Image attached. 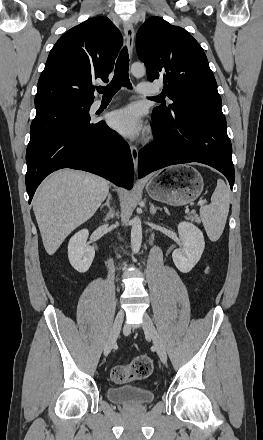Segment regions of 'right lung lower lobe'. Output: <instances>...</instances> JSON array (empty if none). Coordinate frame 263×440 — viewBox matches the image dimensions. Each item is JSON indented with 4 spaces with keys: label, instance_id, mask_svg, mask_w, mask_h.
<instances>
[{
    "label": "right lung lower lobe",
    "instance_id": "right-lung-lower-lobe-1",
    "mask_svg": "<svg viewBox=\"0 0 263 440\" xmlns=\"http://www.w3.org/2000/svg\"><path fill=\"white\" fill-rule=\"evenodd\" d=\"M26 163L29 203L42 180L62 168L88 171L127 189L133 186L130 148L104 121L64 128L29 144Z\"/></svg>",
    "mask_w": 263,
    "mask_h": 440
}]
</instances>
